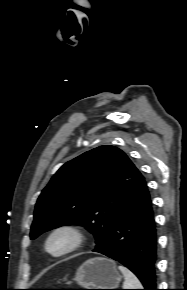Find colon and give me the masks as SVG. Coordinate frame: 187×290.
<instances>
[{
  "instance_id": "1",
  "label": "colon",
  "mask_w": 187,
  "mask_h": 290,
  "mask_svg": "<svg viewBox=\"0 0 187 290\" xmlns=\"http://www.w3.org/2000/svg\"><path fill=\"white\" fill-rule=\"evenodd\" d=\"M31 290H79V289H31Z\"/></svg>"
}]
</instances>
